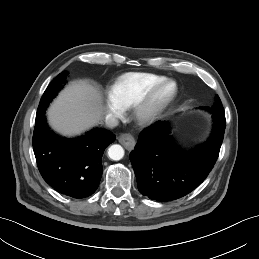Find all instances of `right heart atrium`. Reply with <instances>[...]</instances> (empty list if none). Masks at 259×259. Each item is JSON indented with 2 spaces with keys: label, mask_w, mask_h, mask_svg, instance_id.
I'll return each mask as SVG.
<instances>
[{
  "label": "right heart atrium",
  "mask_w": 259,
  "mask_h": 259,
  "mask_svg": "<svg viewBox=\"0 0 259 259\" xmlns=\"http://www.w3.org/2000/svg\"><path fill=\"white\" fill-rule=\"evenodd\" d=\"M123 113V110L115 105L114 103H111L108 108V114L110 117H119Z\"/></svg>",
  "instance_id": "d8ad5b80"
}]
</instances>
